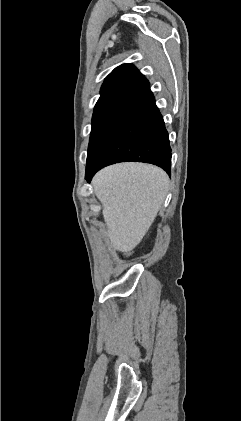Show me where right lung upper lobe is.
I'll list each match as a JSON object with an SVG mask.
<instances>
[{"label": "right lung upper lobe", "mask_w": 241, "mask_h": 421, "mask_svg": "<svg viewBox=\"0 0 241 421\" xmlns=\"http://www.w3.org/2000/svg\"><path fill=\"white\" fill-rule=\"evenodd\" d=\"M149 89V81L132 64L115 68L101 87V96L94 112L133 102Z\"/></svg>", "instance_id": "obj_1"}]
</instances>
